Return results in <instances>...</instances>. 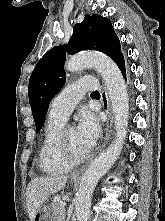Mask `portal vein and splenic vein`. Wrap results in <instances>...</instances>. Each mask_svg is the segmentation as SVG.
<instances>
[{
	"instance_id": "1",
	"label": "portal vein and splenic vein",
	"mask_w": 165,
	"mask_h": 221,
	"mask_svg": "<svg viewBox=\"0 0 165 221\" xmlns=\"http://www.w3.org/2000/svg\"><path fill=\"white\" fill-rule=\"evenodd\" d=\"M61 206L65 208L66 203L65 202H61Z\"/></svg>"
}]
</instances>
